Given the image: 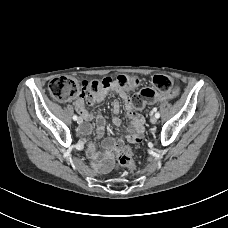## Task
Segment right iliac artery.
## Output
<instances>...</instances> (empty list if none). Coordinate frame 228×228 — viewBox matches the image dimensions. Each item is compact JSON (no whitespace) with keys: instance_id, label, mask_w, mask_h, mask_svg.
<instances>
[{"instance_id":"obj_1","label":"right iliac artery","mask_w":228,"mask_h":228,"mask_svg":"<svg viewBox=\"0 0 228 228\" xmlns=\"http://www.w3.org/2000/svg\"><path fill=\"white\" fill-rule=\"evenodd\" d=\"M77 118H78L77 115L73 116V120H77Z\"/></svg>"}]
</instances>
